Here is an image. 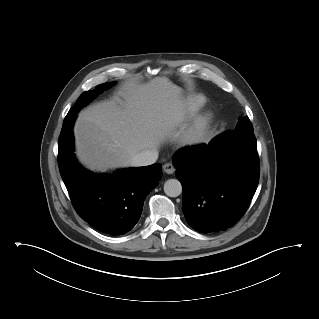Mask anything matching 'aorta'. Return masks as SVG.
Segmentation results:
<instances>
[{"label": "aorta", "instance_id": "1", "mask_svg": "<svg viewBox=\"0 0 319 319\" xmlns=\"http://www.w3.org/2000/svg\"><path fill=\"white\" fill-rule=\"evenodd\" d=\"M164 192L169 197H177L182 193V185L177 179H169L164 183Z\"/></svg>", "mask_w": 319, "mask_h": 319}]
</instances>
